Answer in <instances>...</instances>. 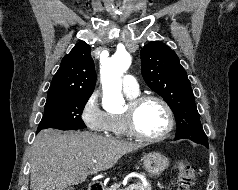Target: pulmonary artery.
Here are the masks:
<instances>
[{
  "label": "pulmonary artery",
  "instance_id": "pulmonary-artery-1",
  "mask_svg": "<svg viewBox=\"0 0 238 190\" xmlns=\"http://www.w3.org/2000/svg\"><path fill=\"white\" fill-rule=\"evenodd\" d=\"M122 85L126 93L136 94L139 91L138 82L132 75H125L122 79Z\"/></svg>",
  "mask_w": 238,
  "mask_h": 190
}]
</instances>
